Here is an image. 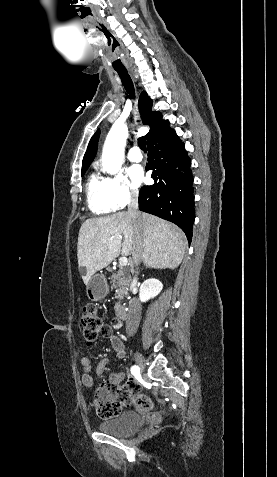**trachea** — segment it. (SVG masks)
Segmentation results:
<instances>
[{
  "instance_id": "3493384b",
  "label": "trachea",
  "mask_w": 277,
  "mask_h": 477,
  "mask_svg": "<svg viewBox=\"0 0 277 477\" xmlns=\"http://www.w3.org/2000/svg\"><path fill=\"white\" fill-rule=\"evenodd\" d=\"M121 81H122V84L123 86L125 87L126 91L130 94V96L133 98L134 97V85H133V82H132V79L129 75V73L126 71V70H123V71H117ZM138 145L140 147L141 150H143L144 152H146V138L145 137H140L138 139Z\"/></svg>"
}]
</instances>
